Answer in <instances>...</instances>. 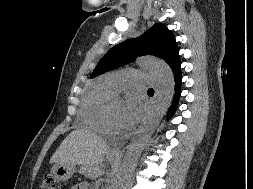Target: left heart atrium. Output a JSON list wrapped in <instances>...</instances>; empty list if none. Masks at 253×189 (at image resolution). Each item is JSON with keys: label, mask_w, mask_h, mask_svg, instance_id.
I'll return each instance as SVG.
<instances>
[{"label": "left heart atrium", "mask_w": 253, "mask_h": 189, "mask_svg": "<svg viewBox=\"0 0 253 189\" xmlns=\"http://www.w3.org/2000/svg\"><path fill=\"white\" fill-rule=\"evenodd\" d=\"M141 112L140 100L134 95L129 96L121 113L122 127L128 129L135 125L140 118Z\"/></svg>", "instance_id": "39dd6f15"}]
</instances>
